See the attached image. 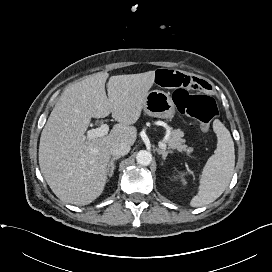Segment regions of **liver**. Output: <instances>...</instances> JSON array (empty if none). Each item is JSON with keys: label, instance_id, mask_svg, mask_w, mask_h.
<instances>
[{"label": "liver", "instance_id": "1", "mask_svg": "<svg viewBox=\"0 0 272 272\" xmlns=\"http://www.w3.org/2000/svg\"><path fill=\"white\" fill-rule=\"evenodd\" d=\"M98 72L67 87L44 126L39 144L41 173L62 201L84 206L98 198L107 182L111 147L120 142L133 145L146 96L155 71L111 76ZM110 113L118 122L109 134L88 139L91 118Z\"/></svg>", "mask_w": 272, "mask_h": 272}]
</instances>
